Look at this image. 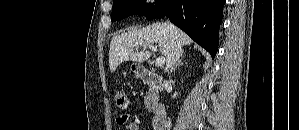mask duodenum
I'll list each match as a JSON object with an SVG mask.
<instances>
[{
    "instance_id": "410a0bca",
    "label": "duodenum",
    "mask_w": 299,
    "mask_h": 130,
    "mask_svg": "<svg viewBox=\"0 0 299 130\" xmlns=\"http://www.w3.org/2000/svg\"><path fill=\"white\" fill-rule=\"evenodd\" d=\"M139 77L153 86L154 91L159 93L164 89V83L159 74L144 68L137 69ZM153 128L155 130H165L167 126V110L164 104L158 103L155 107V114L152 120Z\"/></svg>"
}]
</instances>
